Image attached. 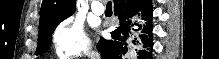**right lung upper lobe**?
I'll return each mask as SVG.
<instances>
[{"label": "right lung upper lobe", "instance_id": "obj_1", "mask_svg": "<svg viewBox=\"0 0 219 59\" xmlns=\"http://www.w3.org/2000/svg\"><path fill=\"white\" fill-rule=\"evenodd\" d=\"M76 8L75 0H43L39 28L71 16Z\"/></svg>", "mask_w": 219, "mask_h": 59}]
</instances>
